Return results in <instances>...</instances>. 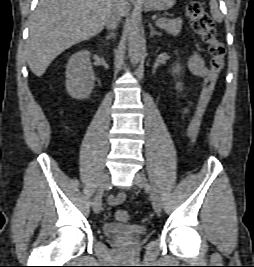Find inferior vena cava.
Here are the masks:
<instances>
[{"label":"inferior vena cava","instance_id":"1","mask_svg":"<svg viewBox=\"0 0 254 267\" xmlns=\"http://www.w3.org/2000/svg\"><path fill=\"white\" fill-rule=\"evenodd\" d=\"M118 3L119 1L116 0V5H118ZM119 22H120V13L118 11V7H114L106 20L107 29L114 30L119 24Z\"/></svg>","mask_w":254,"mask_h":267}]
</instances>
